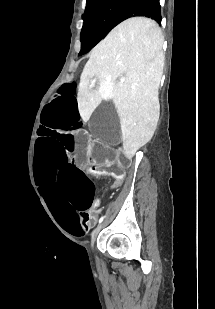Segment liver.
<instances>
[{"label": "liver", "instance_id": "liver-1", "mask_svg": "<svg viewBox=\"0 0 215 309\" xmlns=\"http://www.w3.org/2000/svg\"><path fill=\"white\" fill-rule=\"evenodd\" d=\"M163 40L155 20L146 16L127 18L92 48L81 74L77 100L84 122L101 100H113L127 159L152 138L156 128ZM93 76L99 80L95 90L90 86ZM119 76L124 78L122 86Z\"/></svg>", "mask_w": 215, "mask_h": 309}]
</instances>
